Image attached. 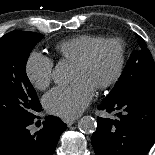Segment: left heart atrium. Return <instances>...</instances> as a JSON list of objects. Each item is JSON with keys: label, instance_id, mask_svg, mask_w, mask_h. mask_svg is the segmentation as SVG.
Segmentation results:
<instances>
[{"label": "left heart atrium", "instance_id": "1", "mask_svg": "<svg viewBox=\"0 0 155 155\" xmlns=\"http://www.w3.org/2000/svg\"><path fill=\"white\" fill-rule=\"evenodd\" d=\"M93 88L83 81L58 86L44 97L47 111L53 115L73 119L80 115L93 99Z\"/></svg>", "mask_w": 155, "mask_h": 155}]
</instances>
